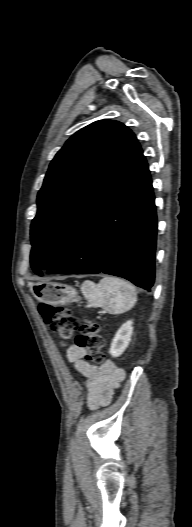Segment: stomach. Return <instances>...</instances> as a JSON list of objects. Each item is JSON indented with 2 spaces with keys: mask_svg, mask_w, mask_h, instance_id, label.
I'll return each mask as SVG.
<instances>
[{
  "mask_svg": "<svg viewBox=\"0 0 192 527\" xmlns=\"http://www.w3.org/2000/svg\"><path fill=\"white\" fill-rule=\"evenodd\" d=\"M30 289L37 300L51 305H62L80 300L74 288L58 283H31Z\"/></svg>",
  "mask_w": 192,
  "mask_h": 527,
  "instance_id": "stomach-1",
  "label": "stomach"
}]
</instances>
